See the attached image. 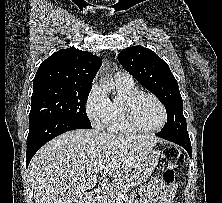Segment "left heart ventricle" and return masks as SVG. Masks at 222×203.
Returning a JSON list of instances; mask_svg holds the SVG:
<instances>
[{"mask_svg":"<svg viewBox=\"0 0 222 203\" xmlns=\"http://www.w3.org/2000/svg\"><path fill=\"white\" fill-rule=\"evenodd\" d=\"M135 116L144 128H155L162 122V111L158 104L149 97L140 99L135 106Z\"/></svg>","mask_w":222,"mask_h":203,"instance_id":"obj_1","label":"left heart ventricle"}]
</instances>
